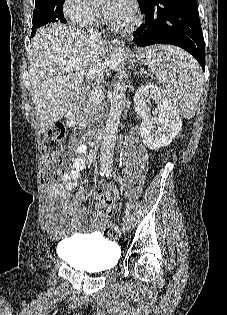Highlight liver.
<instances>
[{"mask_svg": "<svg viewBox=\"0 0 227 315\" xmlns=\"http://www.w3.org/2000/svg\"><path fill=\"white\" fill-rule=\"evenodd\" d=\"M29 60L32 100L44 133L73 108L85 81L117 68L120 54L100 36L52 23L36 32Z\"/></svg>", "mask_w": 227, "mask_h": 315, "instance_id": "liver-1", "label": "liver"}]
</instances>
